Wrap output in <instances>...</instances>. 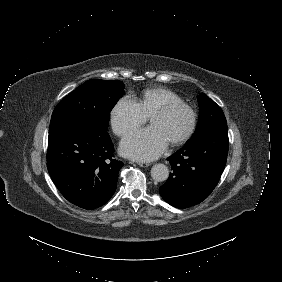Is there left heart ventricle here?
Listing matches in <instances>:
<instances>
[{"label":"left heart ventricle","instance_id":"1","mask_svg":"<svg viewBox=\"0 0 282 282\" xmlns=\"http://www.w3.org/2000/svg\"><path fill=\"white\" fill-rule=\"evenodd\" d=\"M170 102L172 101H163L157 109L164 107ZM150 123L152 126L158 127L167 140L171 141L183 133L187 125V116L183 111L177 110L165 116H154L151 118Z\"/></svg>","mask_w":282,"mask_h":282}]
</instances>
